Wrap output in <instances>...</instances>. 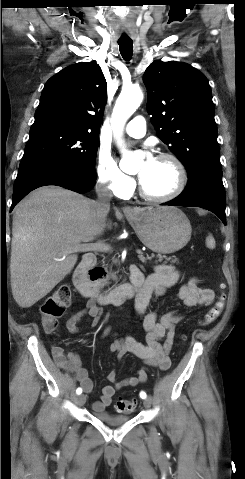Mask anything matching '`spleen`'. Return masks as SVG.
<instances>
[{
  "label": "spleen",
  "instance_id": "3e777b00",
  "mask_svg": "<svg viewBox=\"0 0 245 479\" xmlns=\"http://www.w3.org/2000/svg\"><path fill=\"white\" fill-rule=\"evenodd\" d=\"M215 245H216V244H215V239H214V237H213L211 234H209V235L207 236V238H206V246H207L208 248H210V249H214V248H215Z\"/></svg>",
  "mask_w": 245,
  "mask_h": 479
}]
</instances>
